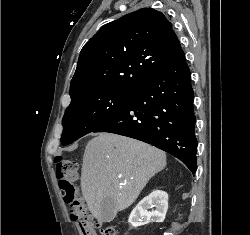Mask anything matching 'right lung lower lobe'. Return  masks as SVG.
<instances>
[{"label":"right lung lower lobe","mask_w":250,"mask_h":235,"mask_svg":"<svg viewBox=\"0 0 250 235\" xmlns=\"http://www.w3.org/2000/svg\"><path fill=\"white\" fill-rule=\"evenodd\" d=\"M194 92L185 54L176 46L167 66L135 88L130 99L92 132H110L149 143L197 170Z\"/></svg>","instance_id":"obj_1"}]
</instances>
